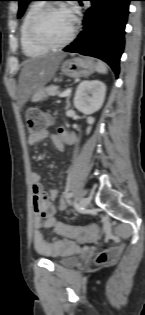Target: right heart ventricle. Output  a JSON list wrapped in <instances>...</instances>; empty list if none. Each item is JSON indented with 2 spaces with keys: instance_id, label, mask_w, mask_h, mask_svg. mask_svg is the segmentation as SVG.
Listing matches in <instances>:
<instances>
[{
  "instance_id": "1",
  "label": "right heart ventricle",
  "mask_w": 145,
  "mask_h": 315,
  "mask_svg": "<svg viewBox=\"0 0 145 315\" xmlns=\"http://www.w3.org/2000/svg\"><path fill=\"white\" fill-rule=\"evenodd\" d=\"M42 7V4H33L25 12L20 25V43L23 52L29 57H38L47 52L46 49L35 45L29 38L28 25L32 16Z\"/></svg>"
}]
</instances>
